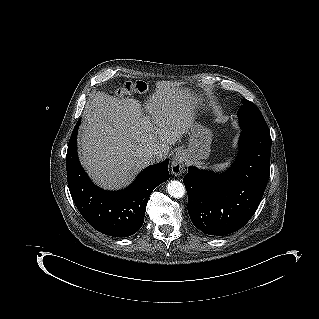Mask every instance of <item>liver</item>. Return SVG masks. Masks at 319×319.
I'll use <instances>...</instances> for the list:
<instances>
[{"label": "liver", "mask_w": 319, "mask_h": 319, "mask_svg": "<svg viewBox=\"0 0 319 319\" xmlns=\"http://www.w3.org/2000/svg\"><path fill=\"white\" fill-rule=\"evenodd\" d=\"M197 108L198 99L178 84L159 83L143 105L98 91L86 105L78 135L81 164L103 188L127 186L150 165V154L166 157L169 146L196 124Z\"/></svg>", "instance_id": "6515ba94"}]
</instances>
